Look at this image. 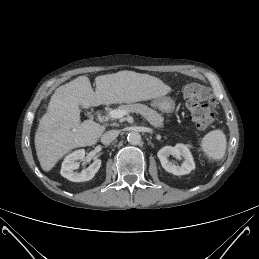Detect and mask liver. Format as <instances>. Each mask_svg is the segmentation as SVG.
<instances>
[{"mask_svg": "<svg viewBox=\"0 0 259 259\" xmlns=\"http://www.w3.org/2000/svg\"><path fill=\"white\" fill-rule=\"evenodd\" d=\"M93 91L87 76L58 87L35 134V149L41 168L48 172L70 150L93 145L105 127L93 120L80 121L79 105L133 103L161 97L170 91L160 79L134 71L97 76Z\"/></svg>", "mask_w": 259, "mask_h": 259, "instance_id": "obj_1", "label": "liver"}]
</instances>
